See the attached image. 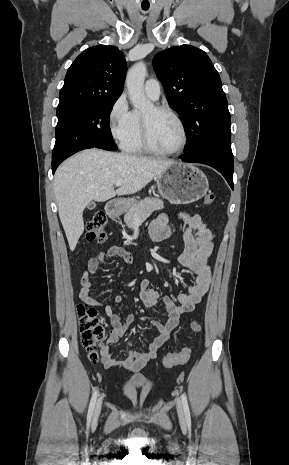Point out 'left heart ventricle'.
Wrapping results in <instances>:
<instances>
[{
	"instance_id": "1",
	"label": "left heart ventricle",
	"mask_w": 289,
	"mask_h": 465,
	"mask_svg": "<svg viewBox=\"0 0 289 465\" xmlns=\"http://www.w3.org/2000/svg\"><path fill=\"white\" fill-rule=\"evenodd\" d=\"M142 115L147 121L151 142L157 149L172 151L181 145L182 132L172 116L158 112L152 106Z\"/></svg>"
}]
</instances>
